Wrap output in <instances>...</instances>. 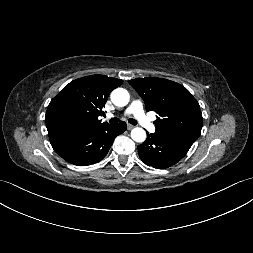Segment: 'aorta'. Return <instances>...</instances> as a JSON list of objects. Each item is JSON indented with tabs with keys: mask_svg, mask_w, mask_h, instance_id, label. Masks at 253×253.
I'll return each instance as SVG.
<instances>
[{
	"mask_svg": "<svg viewBox=\"0 0 253 253\" xmlns=\"http://www.w3.org/2000/svg\"><path fill=\"white\" fill-rule=\"evenodd\" d=\"M130 96L127 90L117 88L111 93V101L116 106H126L129 102ZM131 138L136 142H144L146 139V132L144 129L136 127L131 131Z\"/></svg>",
	"mask_w": 253,
	"mask_h": 253,
	"instance_id": "obj_1",
	"label": "aorta"
}]
</instances>
